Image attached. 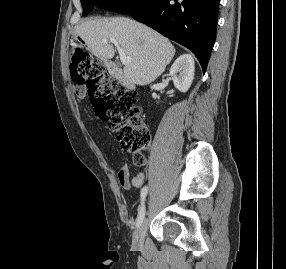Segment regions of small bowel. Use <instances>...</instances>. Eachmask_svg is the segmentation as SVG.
<instances>
[{
  "instance_id": "1",
  "label": "small bowel",
  "mask_w": 286,
  "mask_h": 269,
  "mask_svg": "<svg viewBox=\"0 0 286 269\" xmlns=\"http://www.w3.org/2000/svg\"><path fill=\"white\" fill-rule=\"evenodd\" d=\"M80 96H83V92L80 91ZM118 181L120 185L126 189L129 190L131 187L139 188L142 186L145 180V170H140L132 180H130L129 177V169L126 165H122L118 171Z\"/></svg>"
}]
</instances>
